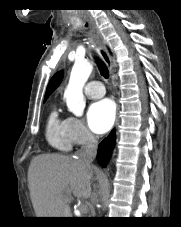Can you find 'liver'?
I'll return each mask as SVG.
<instances>
[{"label":"liver","mask_w":181,"mask_h":227,"mask_svg":"<svg viewBox=\"0 0 181 227\" xmlns=\"http://www.w3.org/2000/svg\"><path fill=\"white\" fill-rule=\"evenodd\" d=\"M92 174L91 166L73 156L34 157L28 170V183L37 217H71V193L78 198H90Z\"/></svg>","instance_id":"obj_1"}]
</instances>
